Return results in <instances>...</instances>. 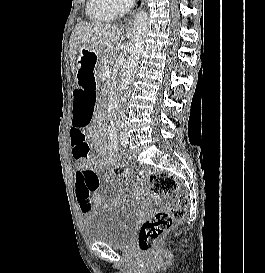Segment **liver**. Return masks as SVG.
Here are the masks:
<instances>
[{
	"mask_svg": "<svg viewBox=\"0 0 265 273\" xmlns=\"http://www.w3.org/2000/svg\"><path fill=\"white\" fill-rule=\"evenodd\" d=\"M123 28L104 23L81 22L74 28L70 38V63L73 75L78 70L77 59L82 48L91 49L99 54L112 50L118 45Z\"/></svg>",
	"mask_w": 265,
	"mask_h": 273,
	"instance_id": "liver-1",
	"label": "liver"
}]
</instances>
